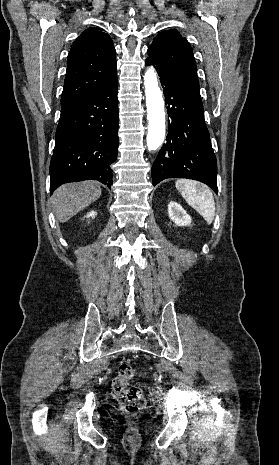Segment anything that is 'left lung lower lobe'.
<instances>
[{
    "instance_id": "left-lung-lower-lobe-1",
    "label": "left lung lower lobe",
    "mask_w": 279,
    "mask_h": 465,
    "mask_svg": "<svg viewBox=\"0 0 279 465\" xmlns=\"http://www.w3.org/2000/svg\"><path fill=\"white\" fill-rule=\"evenodd\" d=\"M150 64L146 60V65ZM155 68L165 92L171 121L167 142L152 166L153 185L166 178H188L207 184L217 193L216 157L204 122L200 92Z\"/></svg>"
}]
</instances>
